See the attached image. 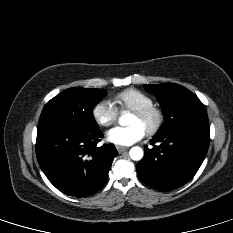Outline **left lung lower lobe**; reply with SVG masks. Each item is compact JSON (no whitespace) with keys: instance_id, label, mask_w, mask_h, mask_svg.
I'll return each instance as SVG.
<instances>
[{"instance_id":"left-lung-lower-lobe-1","label":"left lung lower lobe","mask_w":233,"mask_h":233,"mask_svg":"<svg viewBox=\"0 0 233 233\" xmlns=\"http://www.w3.org/2000/svg\"><path fill=\"white\" fill-rule=\"evenodd\" d=\"M210 142L209 125H192L154 136L137 165L140 179L162 192L179 188L190 181L200 168ZM158 145H155V144Z\"/></svg>"}]
</instances>
